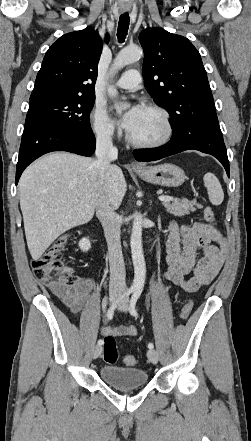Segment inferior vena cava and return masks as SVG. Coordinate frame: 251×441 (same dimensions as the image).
<instances>
[{
  "label": "inferior vena cava",
  "instance_id": "602c4592",
  "mask_svg": "<svg viewBox=\"0 0 251 441\" xmlns=\"http://www.w3.org/2000/svg\"><path fill=\"white\" fill-rule=\"evenodd\" d=\"M118 150L113 146L111 133L101 132L97 135L96 157L99 169V178L105 180L106 172L111 167V161L117 159ZM112 199L104 192L96 206V215L102 223L108 246L110 264L109 292L120 294L126 289V271L120 242V220L115 212Z\"/></svg>",
  "mask_w": 251,
  "mask_h": 441
}]
</instances>
